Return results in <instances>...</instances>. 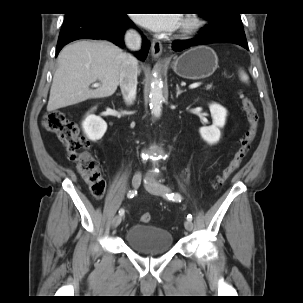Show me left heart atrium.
Masks as SVG:
<instances>
[{
  "label": "left heart atrium",
  "instance_id": "obj_1",
  "mask_svg": "<svg viewBox=\"0 0 303 303\" xmlns=\"http://www.w3.org/2000/svg\"><path fill=\"white\" fill-rule=\"evenodd\" d=\"M135 20L140 25L156 32L171 31L179 24L178 14H136Z\"/></svg>",
  "mask_w": 303,
  "mask_h": 303
}]
</instances>
